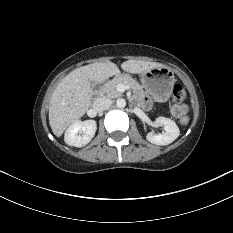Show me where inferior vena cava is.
Instances as JSON below:
<instances>
[{"mask_svg": "<svg viewBox=\"0 0 233 233\" xmlns=\"http://www.w3.org/2000/svg\"><path fill=\"white\" fill-rule=\"evenodd\" d=\"M112 105V100L108 98H97L93 102V109L96 112H102L106 109H108Z\"/></svg>", "mask_w": 233, "mask_h": 233, "instance_id": "inferior-vena-cava-1", "label": "inferior vena cava"}]
</instances>
